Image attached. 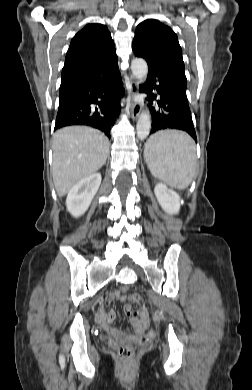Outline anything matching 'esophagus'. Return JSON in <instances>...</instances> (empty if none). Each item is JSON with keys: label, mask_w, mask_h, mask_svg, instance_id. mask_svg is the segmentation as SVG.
<instances>
[{"label": "esophagus", "mask_w": 252, "mask_h": 390, "mask_svg": "<svg viewBox=\"0 0 252 390\" xmlns=\"http://www.w3.org/2000/svg\"><path fill=\"white\" fill-rule=\"evenodd\" d=\"M139 85L138 81L134 77H130V93H131V105H130V114L133 120H136L140 114L143 103L136 101L135 97L138 94Z\"/></svg>", "instance_id": "esophagus-1"}]
</instances>
